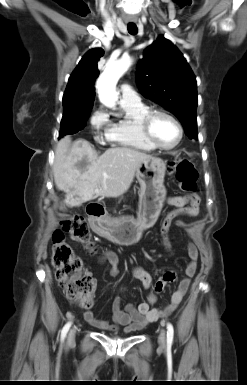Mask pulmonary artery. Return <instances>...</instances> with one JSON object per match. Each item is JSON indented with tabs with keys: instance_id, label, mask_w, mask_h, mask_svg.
<instances>
[{
	"instance_id": "obj_1",
	"label": "pulmonary artery",
	"mask_w": 247,
	"mask_h": 385,
	"mask_svg": "<svg viewBox=\"0 0 247 385\" xmlns=\"http://www.w3.org/2000/svg\"><path fill=\"white\" fill-rule=\"evenodd\" d=\"M120 102L123 104H138L140 103L139 95L127 84L121 85Z\"/></svg>"
}]
</instances>
